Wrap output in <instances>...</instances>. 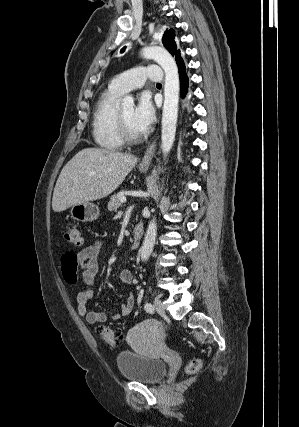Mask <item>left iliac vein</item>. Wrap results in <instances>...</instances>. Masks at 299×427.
<instances>
[{
  "label": "left iliac vein",
  "mask_w": 299,
  "mask_h": 427,
  "mask_svg": "<svg viewBox=\"0 0 299 427\" xmlns=\"http://www.w3.org/2000/svg\"><path fill=\"white\" fill-rule=\"evenodd\" d=\"M154 308L156 310V312L161 315L164 316L165 315V309L164 306L162 304V302L159 299H155L154 300Z\"/></svg>",
  "instance_id": "4c4485c4"
}]
</instances>
